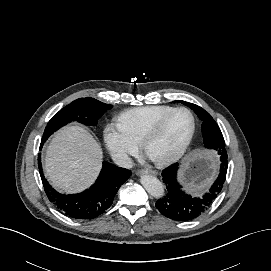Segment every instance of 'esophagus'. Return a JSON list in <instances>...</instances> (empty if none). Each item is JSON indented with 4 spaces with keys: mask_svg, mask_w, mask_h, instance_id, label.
Returning a JSON list of instances; mask_svg holds the SVG:
<instances>
[{
    "mask_svg": "<svg viewBox=\"0 0 271 271\" xmlns=\"http://www.w3.org/2000/svg\"><path fill=\"white\" fill-rule=\"evenodd\" d=\"M139 175H145V174H150V175H157V172L155 170H150V169H142L137 172Z\"/></svg>",
    "mask_w": 271,
    "mask_h": 271,
    "instance_id": "1",
    "label": "esophagus"
}]
</instances>
